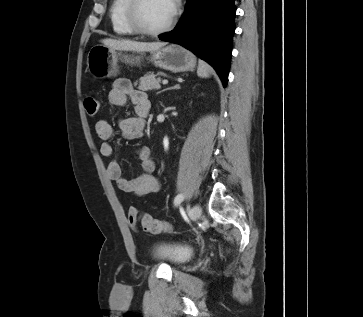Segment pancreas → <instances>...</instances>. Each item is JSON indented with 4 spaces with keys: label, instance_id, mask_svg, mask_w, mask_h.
<instances>
[{
    "label": "pancreas",
    "instance_id": "pancreas-1",
    "mask_svg": "<svg viewBox=\"0 0 363 317\" xmlns=\"http://www.w3.org/2000/svg\"><path fill=\"white\" fill-rule=\"evenodd\" d=\"M160 83L161 78H156L154 73L149 72L139 79L138 89L143 91L159 89L161 87ZM134 84L137 85V81Z\"/></svg>",
    "mask_w": 363,
    "mask_h": 317
}]
</instances>
